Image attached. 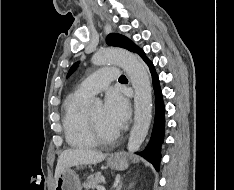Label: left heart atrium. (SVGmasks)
I'll return each instance as SVG.
<instances>
[{"label": "left heart atrium", "instance_id": "1", "mask_svg": "<svg viewBox=\"0 0 234 190\" xmlns=\"http://www.w3.org/2000/svg\"><path fill=\"white\" fill-rule=\"evenodd\" d=\"M104 113L107 121L113 127L121 128L130 114L127 99L116 91H110L105 98Z\"/></svg>", "mask_w": 234, "mask_h": 190}]
</instances>
